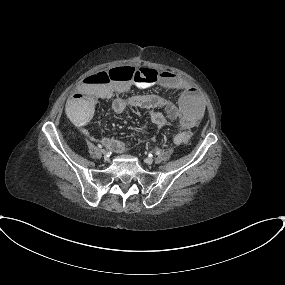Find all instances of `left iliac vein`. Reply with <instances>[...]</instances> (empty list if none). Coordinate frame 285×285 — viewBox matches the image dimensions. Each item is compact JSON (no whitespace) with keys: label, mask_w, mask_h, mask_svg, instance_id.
Segmentation results:
<instances>
[{"label":"left iliac vein","mask_w":285,"mask_h":285,"mask_svg":"<svg viewBox=\"0 0 285 285\" xmlns=\"http://www.w3.org/2000/svg\"><path fill=\"white\" fill-rule=\"evenodd\" d=\"M145 163H147L148 165H151L153 163V159L152 158H146Z\"/></svg>","instance_id":"left-iliac-vein-1"}]
</instances>
